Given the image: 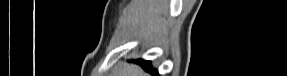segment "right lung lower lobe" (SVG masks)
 Here are the masks:
<instances>
[{
	"label": "right lung lower lobe",
	"mask_w": 287,
	"mask_h": 76,
	"mask_svg": "<svg viewBox=\"0 0 287 76\" xmlns=\"http://www.w3.org/2000/svg\"><path fill=\"white\" fill-rule=\"evenodd\" d=\"M137 62H139L143 68L150 70L152 73L157 74V71L155 70H151L150 69V62L149 61H143V60H138Z\"/></svg>",
	"instance_id": "98d812e1"
}]
</instances>
